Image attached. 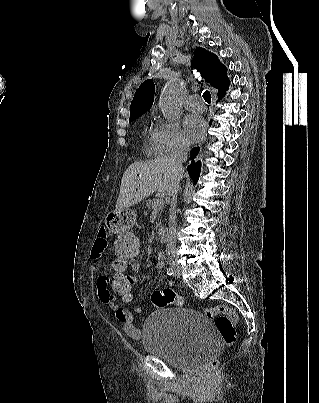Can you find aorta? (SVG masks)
Masks as SVG:
<instances>
[{
  "label": "aorta",
  "mask_w": 319,
  "mask_h": 403,
  "mask_svg": "<svg viewBox=\"0 0 319 403\" xmlns=\"http://www.w3.org/2000/svg\"><path fill=\"white\" fill-rule=\"evenodd\" d=\"M183 92L184 85L181 80L170 81L165 85L159 106L166 119L176 121L180 118Z\"/></svg>",
  "instance_id": "obj_1"
}]
</instances>
